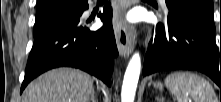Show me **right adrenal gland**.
Wrapping results in <instances>:
<instances>
[{
  "instance_id": "2a0ac1e0",
  "label": "right adrenal gland",
  "mask_w": 221,
  "mask_h": 102,
  "mask_svg": "<svg viewBox=\"0 0 221 102\" xmlns=\"http://www.w3.org/2000/svg\"><path fill=\"white\" fill-rule=\"evenodd\" d=\"M89 102H97L94 90H92V92H91V96H90V101Z\"/></svg>"
}]
</instances>
